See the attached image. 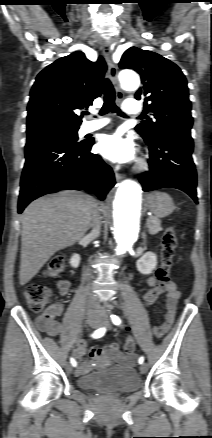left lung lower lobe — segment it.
Listing matches in <instances>:
<instances>
[{
    "mask_svg": "<svg viewBox=\"0 0 212 438\" xmlns=\"http://www.w3.org/2000/svg\"><path fill=\"white\" fill-rule=\"evenodd\" d=\"M149 145V172L139 177L144 191L177 188L197 202V174L192 160L193 139L189 131L163 132Z\"/></svg>",
    "mask_w": 212,
    "mask_h": 438,
    "instance_id": "1",
    "label": "left lung lower lobe"
}]
</instances>
